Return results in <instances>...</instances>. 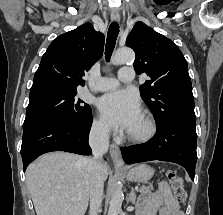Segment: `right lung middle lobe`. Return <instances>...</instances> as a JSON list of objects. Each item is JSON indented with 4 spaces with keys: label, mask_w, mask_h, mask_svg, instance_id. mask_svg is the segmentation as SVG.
Masks as SVG:
<instances>
[{
    "label": "right lung middle lobe",
    "mask_w": 223,
    "mask_h": 215,
    "mask_svg": "<svg viewBox=\"0 0 223 215\" xmlns=\"http://www.w3.org/2000/svg\"><path fill=\"white\" fill-rule=\"evenodd\" d=\"M77 91L44 90L30 92V101L23 127L45 121H67L87 124L92 118L91 108L76 99Z\"/></svg>",
    "instance_id": "right-lung-middle-lobe-1"
}]
</instances>
